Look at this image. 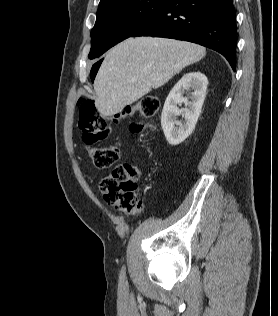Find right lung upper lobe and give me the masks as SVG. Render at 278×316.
Instances as JSON below:
<instances>
[{
	"label": "right lung upper lobe",
	"instance_id": "cb5924a9",
	"mask_svg": "<svg viewBox=\"0 0 278 316\" xmlns=\"http://www.w3.org/2000/svg\"><path fill=\"white\" fill-rule=\"evenodd\" d=\"M105 1H107V0H101L100 3L105 2Z\"/></svg>",
	"mask_w": 278,
	"mask_h": 316
}]
</instances>
